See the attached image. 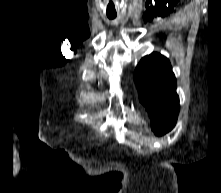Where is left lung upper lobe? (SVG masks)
Returning <instances> with one entry per match:
<instances>
[{
    "label": "left lung upper lobe",
    "instance_id": "5c2ea615",
    "mask_svg": "<svg viewBox=\"0 0 221 193\" xmlns=\"http://www.w3.org/2000/svg\"><path fill=\"white\" fill-rule=\"evenodd\" d=\"M134 79L139 100L151 118L152 130L158 136L169 132L177 121L179 97L170 62L159 53L141 59Z\"/></svg>",
    "mask_w": 221,
    "mask_h": 193
}]
</instances>
